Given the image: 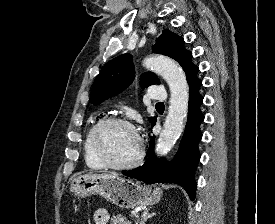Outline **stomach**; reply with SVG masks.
<instances>
[{
	"label": "stomach",
	"mask_w": 275,
	"mask_h": 224,
	"mask_svg": "<svg viewBox=\"0 0 275 224\" xmlns=\"http://www.w3.org/2000/svg\"><path fill=\"white\" fill-rule=\"evenodd\" d=\"M70 190L76 197L100 195L120 208H135L158 203L160 187L142 186L138 182L112 174H85L72 179Z\"/></svg>",
	"instance_id": "obj_1"
}]
</instances>
